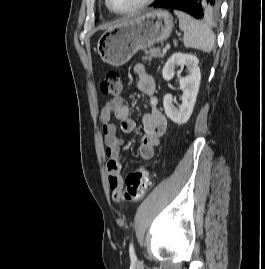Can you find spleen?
Listing matches in <instances>:
<instances>
[{
	"instance_id": "obj_1",
	"label": "spleen",
	"mask_w": 265,
	"mask_h": 269,
	"mask_svg": "<svg viewBox=\"0 0 265 269\" xmlns=\"http://www.w3.org/2000/svg\"><path fill=\"white\" fill-rule=\"evenodd\" d=\"M174 14L179 18V27L184 32L185 47L199 49L206 53L212 51L215 37L206 24L179 10H174Z\"/></svg>"
}]
</instances>
